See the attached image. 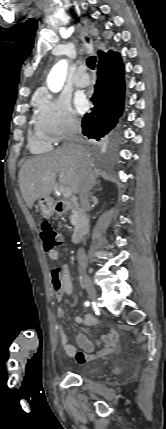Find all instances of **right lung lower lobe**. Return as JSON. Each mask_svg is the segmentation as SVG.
Listing matches in <instances>:
<instances>
[{"instance_id": "obj_1", "label": "right lung lower lobe", "mask_w": 166, "mask_h": 429, "mask_svg": "<svg viewBox=\"0 0 166 429\" xmlns=\"http://www.w3.org/2000/svg\"><path fill=\"white\" fill-rule=\"evenodd\" d=\"M92 111L82 120V133L89 139L101 140L113 132L124 108V66L117 52L98 59Z\"/></svg>"}]
</instances>
